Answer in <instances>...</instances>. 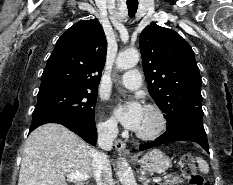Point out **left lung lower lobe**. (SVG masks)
<instances>
[{
    "label": "left lung lower lobe",
    "mask_w": 233,
    "mask_h": 185,
    "mask_svg": "<svg viewBox=\"0 0 233 185\" xmlns=\"http://www.w3.org/2000/svg\"><path fill=\"white\" fill-rule=\"evenodd\" d=\"M188 140L200 144L208 153V141L203 127V111L194 110L179 122L173 124L156 141L141 145L140 150H146L168 142Z\"/></svg>",
    "instance_id": "left-lung-lower-lobe-1"
}]
</instances>
